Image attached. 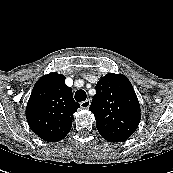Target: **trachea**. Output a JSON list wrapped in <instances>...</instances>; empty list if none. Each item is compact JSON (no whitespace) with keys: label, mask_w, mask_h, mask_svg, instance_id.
Instances as JSON below:
<instances>
[{"label":"trachea","mask_w":173,"mask_h":173,"mask_svg":"<svg viewBox=\"0 0 173 173\" xmlns=\"http://www.w3.org/2000/svg\"><path fill=\"white\" fill-rule=\"evenodd\" d=\"M75 100L77 102H82V101H85L86 98H87V95H86V92L84 90H78L76 93H75Z\"/></svg>","instance_id":"3493384b"}]
</instances>
